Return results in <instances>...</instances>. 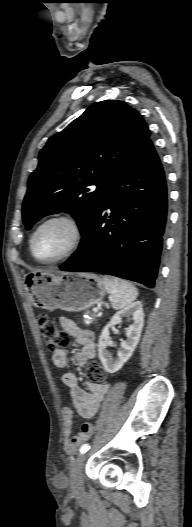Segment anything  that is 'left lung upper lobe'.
I'll use <instances>...</instances> for the list:
<instances>
[{"instance_id":"left-lung-upper-lobe-1","label":"left lung upper lobe","mask_w":192,"mask_h":527,"mask_svg":"<svg viewBox=\"0 0 192 527\" xmlns=\"http://www.w3.org/2000/svg\"><path fill=\"white\" fill-rule=\"evenodd\" d=\"M149 137L140 114L123 101L105 100L87 108L40 151L23 203L26 228L64 211L73 215L83 234L111 183Z\"/></svg>"}]
</instances>
